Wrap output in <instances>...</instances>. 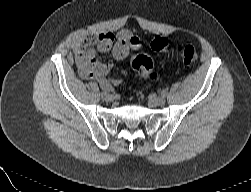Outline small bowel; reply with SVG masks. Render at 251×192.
<instances>
[{"label": "small bowel", "mask_w": 251, "mask_h": 192, "mask_svg": "<svg viewBox=\"0 0 251 192\" xmlns=\"http://www.w3.org/2000/svg\"><path fill=\"white\" fill-rule=\"evenodd\" d=\"M141 41L127 31L116 36L111 32L90 34L76 48V63L79 74L84 79L97 81L104 90L120 85L121 80L109 78L112 66L95 58V53L112 51L115 59H125L131 50L138 49Z\"/></svg>", "instance_id": "obj_1"}]
</instances>
